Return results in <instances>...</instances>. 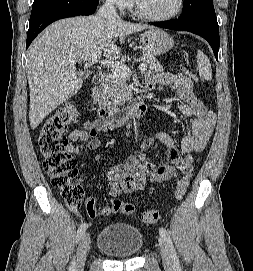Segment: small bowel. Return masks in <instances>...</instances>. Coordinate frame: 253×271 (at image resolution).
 I'll return each instance as SVG.
<instances>
[{"instance_id": "obj_1", "label": "small bowel", "mask_w": 253, "mask_h": 271, "mask_svg": "<svg viewBox=\"0 0 253 271\" xmlns=\"http://www.w3.org/2000/svg\"><path fill=\"white\" fill-rule=\"evenodd\" d=\"M156 85L173 87L177 90L180 100L179 110L189 119L188 132L181 141L179 150L174 145L172 136L168 133L157 131L152 137L145 139L141 150L146 151L159 142L167 147L166 157L163 162L155 163L144 156L130 157L126 164H118L108 173L110 194L113 197L121 193H133L144 189L148 180L163 182L171 178L176 171L190 175L195 161L194 153L202 152L215 128L216 116L193 93V79L191 76L163 72L147 76L145 89L153 90ZM106 128L94 121H86L82 129H74L69 134V139L74 142L67 147L73 155H79L82 144L86 143L89 149L96 150L102 145V140L97 134ZM91 217L110 216L113 211L110 207L94 208L87 211Z\"/></svg>"}]
</instances>
